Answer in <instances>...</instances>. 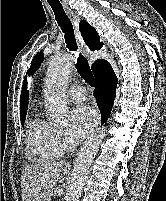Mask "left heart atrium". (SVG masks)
<instances>
[{"label":"left heart atrium","instance_id":"obj_1","mask_svg":"<svg viewBox=\"0 0 166 201\" xmlns=\"http://www.w3.org/2000/svg\"><path fill=\"white\" fill-rule=\"evenodd\" d=\"M97 120L96 112L89 105H79L71 111L70 136L74 142L81 141L93 128Z\"/></svg>","mask_w":166,"mask_h":201}]
</instances>
